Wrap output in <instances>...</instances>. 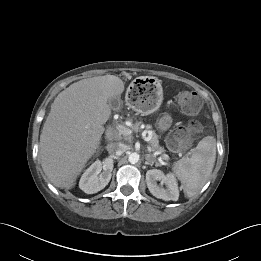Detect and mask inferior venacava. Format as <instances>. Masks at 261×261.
I'll return each instance as SVG.
<instances>
[{
	"label": "inferior vena cava",
	"instance_id": "1",
	"mask_svg": "<svg viewBox=\"0 0 261 261\" xmlns=\"http://www.w3.org/2000/svg\"><path fill=\"white\" fill-rule=\"evenodd\" d=\"M107 151L110 154L120 156L126 151V146L121 143H110L107 145Z\"/></svg>",
	"mask_w": 261,
	"mask_h": 261
}]
</instances>
